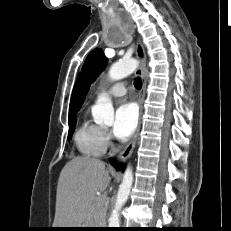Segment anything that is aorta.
<instances>
[{"label":"aorta","instance_id":"obj_1","mask_svg":"<svg viewBox=\"0 0 231 231\" xmlns=\"http://www.w3.org/2000/svg\"><path fill=\"white\" fill-rule=\"evenodd\" d=\"M138 67V61L135 59H123L114 63L108 72V76L111 80L117 81L132 74ZM92 115L95 123L111 125L114 122V109L111 99L102 94L98 97L95 106L92 109ZM133 183V173L130 167H127L123 181L119 187L114 209L108 220L109 228H119L120 215L119 212L122 206L128 199L131 187Z\"/></svg>","mask_w":231,"mask_h":231}]
</instances>
